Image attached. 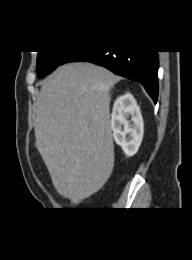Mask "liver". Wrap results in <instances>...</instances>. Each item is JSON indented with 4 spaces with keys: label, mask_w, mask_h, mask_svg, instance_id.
I'll return each mask as SVG.
<instances>
[{
    "label": "liver",
    "mask_w": 192,
    "mask_h": 260,
    "mask_svg": "<svg viewBox=\"0 0 192 260\" xmlns=\"http://www.w3.org/2000/svg\"><path fill=\"white\" fill-rule=\"evenodd\" d=\"M120 78L88 62L65 64L41 87L36 148L56 191L73 201L100 190L114 166L109 91Z\"/></svg>",
    "instance_id": "1"
}]
</instances>
